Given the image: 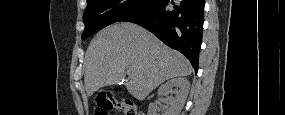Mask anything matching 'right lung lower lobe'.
Masks as SVG:
<instances>
[{
    "mask_svg": "<svg viewBox=\"0 0 285 115\" xmlns=\"http://www.w3.org/2000/svg\"><path fill=\"white\" fill-rule=\"evenodd\" d=\"M204 0H156L123 21L152 32L167 46L185 55L198 71L204 23Z\"/></svg>",
    "mask_w": 285,
    "mask_h": 115,
    "instance_id": "98d812e1",
    "label": "right lung lower lobe"
}]
</instances>
